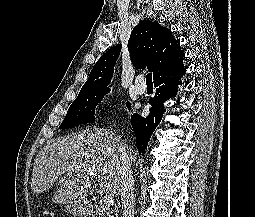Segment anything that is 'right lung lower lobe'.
Here are the masks:
<instances>
[{
    "mask_svg": "<svg viewBox=\"0 0 255 217\" xmlns=\"http://www.w3.org/2000/svg\"><path fill=\"white\" fill-rule=\"evenodd\" d=\"M183 59L167 72L154 79L156 93L150 99V114L143 118L138 114L131 116L132 127L136 136V146L141 153H145L149 139L160 123L165 112L163 103L176 95L177 85L181 83L180 78L185 73Z\"/></svg>",
    "mask_w": 255,
    "mask_h": 217,
    "instance_id": "obj_1",
    "label": "right lung lower lobe"
}]
</instances>
